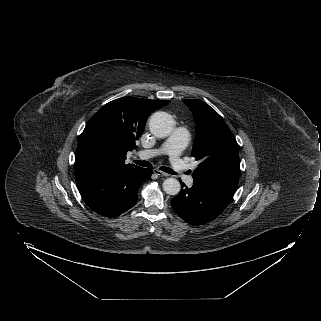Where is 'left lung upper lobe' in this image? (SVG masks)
Instances as JSON below:
<instances>
[{
	"mask_svg": "<svg viewBox=\"0 0 321 321\" xmlns=\"http://www.w3.org/2000/svg\"><path fill=\"white\" fill-rule=\"evenodd\" d=\"M193 112L196 138L192 156L201 163L193 171V179H239V153L236 139L223 118L207 103L185 99Z\"/></svg>",
	"mask_w": 321,
	"mask_h": 321,
	"instance_id": "obj_1",
	"label": "left lung upper lobe"
}]
</instances>
